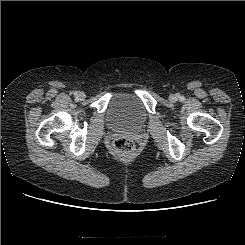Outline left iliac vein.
I'll return each instance as SVG.
<instances>
[{
    "label": "left iliac vein",
    "instance_id": "4c4485c4",
    "mask_svg": "<svg viewBox=\"0 0 245 245\" xmlns=\"http://www.w3.org/2000/svg\"><path fill=\"white\" fill-rule=\"evenodd\" d=\"M169 100H170L171 102L177 101L176 95H170Z\"/></svg>",
    "mask_w": 245,
    "mask_h": 245
}]
</instances>
